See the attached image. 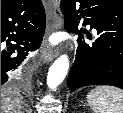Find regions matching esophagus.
<instances>
[{"mask_svg": "<svg viewBox=\"0 0 123 113\" xmlns=\"http://www.w3.org/2000/svg\"><path fill=\"white\" fill-rule=\"evenodd\" d=\"M46 7L50 12L48 33L61 29L63 26V14L60 9V2L58 0H49L46 2ZM58 53V49H52L45 44L41 51V59L44 63H49L57 57Z\"/></svg>", "mask_w": 123, "mask_h": 113, "instance_id": "obj_1", "label": "esophagus"}]
</instances>
